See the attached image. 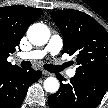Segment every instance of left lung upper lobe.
<instances>
[{
	"instance_id": "1",
	"label": "left lung upper lobe",
	"mask_w": 108,
	"mask_h": 108,
	"mask_svg": "<svg viewBox=\"0 0 108 108\" xmlns=\"http://www.w3.org/2000/svg\"><path fill=\"white\" fill-rule=\"evenodd\" d=\"M51 16L64 38L63 53L76 55V73H108L107 31L91 16L77 10L53 11Z\"/></svg>"
}]
</instances>
